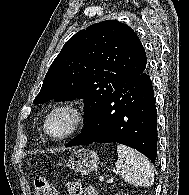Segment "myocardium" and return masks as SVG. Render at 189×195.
Wrapping results in <instances>:
<instances>
[{
  "instance_id": "f54148a6",
  "label": "myocardium",
  "mask_w": 189,
  "mask_h": 195,
  "mask_svg": "<svg viewBox=\"0 0 189 195\" xmlns=\"http://www.w3.org/2000/svg\"><path fill=\"white\" fill-rule=\"evenodd\" d=\"M64 109L70 110L74 114L75 119H74L73 125L69 129V131H67L64 135L58 136V137L52 136L48 131V121L52 117L53 114H55L56 112L60 110H64ZM85 121H86V113L84 109L75 102L67 101V102H63V103H60L54 106L47 113L44 119L43 129H44V133L46 134V136L49 137L51 140L64 141L70 138L71 136H73L74 134H76L83 127V125L85 124Z\"/></svg>"
}]
</instances>
